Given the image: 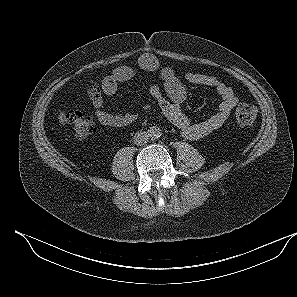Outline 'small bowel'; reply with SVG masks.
<instances>
[{"mask_svg": "<svg viewBox=\"0 0 297 297\" xmlns=\"http://www.w3.org/2000/svg\"><path fill=\"white\" fill-rule=\"evenodd\" d=\"M138 63L139 69L143 71L159 73L169 99L157 85L151 86L149 93L156 100L164 118L179 129L181 135L188 140L202 139L220 128L230 118L233 108L238 103V97L232 88L216 77L195 72L180 75L171 66L161 67L158 59L149 53L140 55ZM136 74V68L120 66L106 76L100 85L94 83L89 85L88 94L95 109V116L101 124L124 127L137 121L138 114L135 112L113 114L103 109L104 95L115 94L121 83L133 80ZM188 85L213 88L220 97L217 112L201 122L192 123L182 110V104L188 94Z\"/></svg>", "mask_w": 297, "mask_h": 297, "instance_id": "c3829d8e", "label": "small bowel"}]
</instances>
